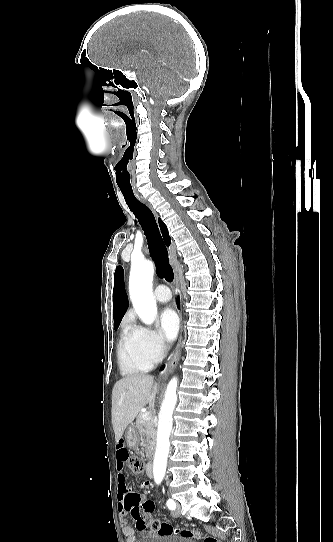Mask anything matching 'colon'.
I'll use <instances>...</instances> for the list:
<instances>
[{"label": "colon", "mask_w": 333, "mask_h": 542, "mask_svg": "<svg viewBox=\"0 0 333 542\" xmlns=\"http://www.w3.org/2000/svg\"><path fill=\"white\" fill-rule=\"evenodd\" d=\"M129 467L134 475H140L145 471V463L139 457H130ZM125 497L126 508L139 532L149 535L151 539L156 540L160 537H167L174 531L173 526L168 522H161L152 517L155 504L153 500H139L138 491L129 489ZM182 537L185 539H200L201 535L197 532L190 531L186 528L181 530ZM136 542L137 539H132ZM203 542H225L222 537L215 539L212 536H206Z\"/></svg>", "instance_id": "obj_1"}]
</instances>
